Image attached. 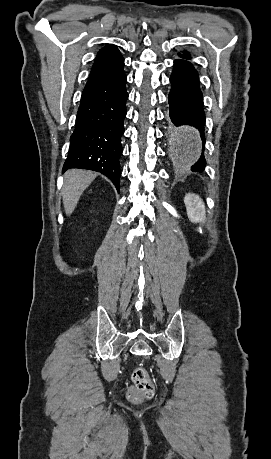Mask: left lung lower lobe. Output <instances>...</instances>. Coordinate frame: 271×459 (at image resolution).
Returning <instances> with one entry per match:
<instances>
[{
    "label": "left lung lower lobe",
    "mask_w": 271,
    "mask_h": 459,
    "mask_svg": "<svg viewBox=\"0 0 271 459\" xmlns=\"http://www.w3.org/2000/svg\"><path fill=\"white\" fill-rule=\"evenodd\" d=\"M170 83L171 91L168 95L170 119L175 126L187 124L196 127L203 136L205 113L199 84V73L189 59L174 60ZM205 165L206 161L202 156L191 167V170L202 172Z\"/></svg>",
    "instance_id": "left-lung-lower-lobe-1"
}]
</instances>
